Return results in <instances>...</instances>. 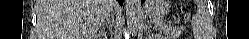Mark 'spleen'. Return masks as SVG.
Wrapping results in <instances>:
<instances>
[{"mask_svg": "<svg viewBox=\"0 0 249 39\" xmlns=\"http://www.w3.org/2000/svg\"><path fill=\"white\" fill-rule=\"evenodd\" d=\"M197 11L193 15L191 25L195 39H209L211 19L206 9L205 2L197 1Z\"/></svg>", "mask_w": 249, "mask_h": 39, "instance_id": "spleen-1", "label": "spleen"}]
</instances>
